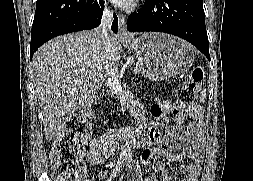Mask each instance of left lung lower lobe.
<instances>
[{
  "label": "left lung lower lobe",
  "instance_id": "1",
  "mask_svg": "<svg viewBox=\"0 0 253 181\" xmlns=\"http://www.w3.org/2000/svg\"><path fill=\"white\" fill-rule=\"evenodd\" d=\"M127 29L176 35L210 60L203 0H146L141 9L129 15Z\"/></svg>",
  "mask_w": 253,
  "mask_h": 181
}]
</instances>
